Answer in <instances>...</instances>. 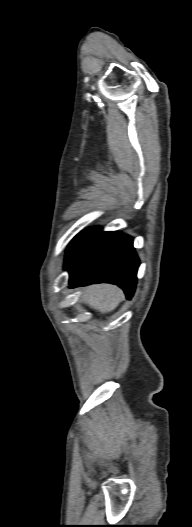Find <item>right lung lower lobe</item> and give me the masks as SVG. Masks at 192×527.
<instances>
[{
    "instance_id": "98d812e1",
    "label": "right lung lower lobe",
    "mask_w": 192,
    "mask_h": 527,
    "mask_svg": "<svg viewBox=\"0 0 192 527\" xmlns=\"http://www.w3.org/2000/svg\"><path fill=\"white\" fill-rule=\"evenodd\" d=\"M138 267L132 237L116 231L103 232L100 227L79 233L66 252L70 288L107 282L120 286L130 299Z\"/></svg>"
}]
</instances>
